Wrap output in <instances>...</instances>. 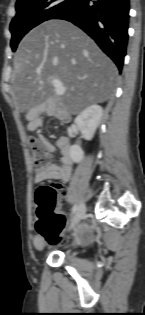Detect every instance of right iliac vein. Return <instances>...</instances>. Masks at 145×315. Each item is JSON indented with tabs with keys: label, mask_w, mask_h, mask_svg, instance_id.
Returning <instances> with one entry per match:
<instances>
[{
	"label": "right iliac vein",
	"mask_w": 145,
	"mask_h": 315,
	"mask_svg": "<svg viewBox=\"0 0 145 315\" xmlns=\"http://www.w3.org/2000/svg\"><path fill=\"white\" fill-rule=\"evenodd\" d=\"M85 212H86V206L84 203H81L74 218L72 219L69 229L74 228L83 219Z\"/></svg>",
	"instance_id": "1"
}]
</instances>
